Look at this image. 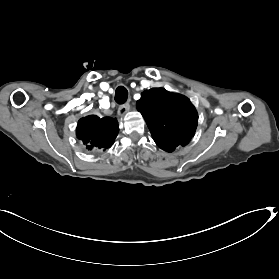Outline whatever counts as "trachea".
<instances>
[{
	"label": "trachea",
	"instance_id": "3493384b",
	"mask_svg": "<svg viewBox=\"0 0 279 279\" xmlns=\"http://www.w3.org/2000/svg\"><path fill=\"white\" fill-rule=\"evenodd\" d=\"M128 98V91L125 87L119 86L115 92V101L118 104H123Z\"/></svg>",
	"mask_w": 279,
	"mask_h": 279
}]
</instances>
